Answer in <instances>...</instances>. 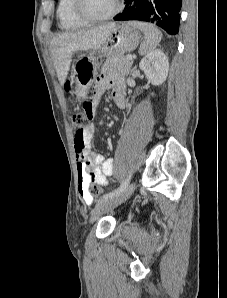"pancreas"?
Masks as SVG:
<instances>
[{
	"instance_id": "cf45deb5",
	"label": "pancreas",
	"mask_w": 227,
	"mask_h": 298,
	"mask_svg": "<svg viewBox=\"0 0 227 298\" xmlns=\"http://www.w3.org/2000/svg\"><path fill=\"white\" fill-rule=\"evenodd\" d=\"M133 61L128 60L127 56H109L102 66V71L113 70L128 75L132 67Z\"/></svg>"
}]
</instances>
